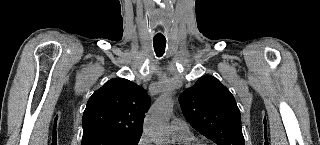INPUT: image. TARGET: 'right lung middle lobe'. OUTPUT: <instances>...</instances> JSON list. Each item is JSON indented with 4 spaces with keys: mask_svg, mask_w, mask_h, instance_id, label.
<instances>
[{
    "mask_svg": "<svg viewBox=\"0 0 320 145\" xmlns=\"http://www.w3.org/2000/svg\"><path fill=\"white\" fill-rule=\"evenodd\" d=\"M141 135L135 136H97L82 140V145H138Z\"/></svg>",
    "mask_w": 320,
    "mask_h": 145,
    "instance_id": "1",
    "label": "right lung middle lobe"
}]
</instances>
